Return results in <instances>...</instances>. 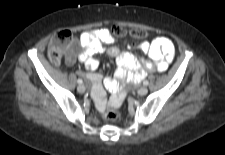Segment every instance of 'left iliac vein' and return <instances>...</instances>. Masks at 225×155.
<instances>
[{"mask_svg":"<svg viewBox=\"0 0 225 155\" xmlns=\"http://www.w3.org/2000/svg\"><path fill=\"white\" fill-rule=\"evenodd\" d=\"M148 93V89L146 87H141L139 90H138V94L141 95V96H144Z\"/></svg>","mask_w":225,"mask_h":155,"instance_id":"4c4485c4","label":"left iliac vein"}]
</instances>
